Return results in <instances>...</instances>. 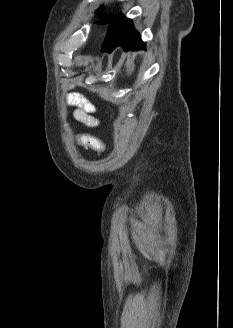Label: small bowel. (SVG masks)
<instances>
[{"label": "small bowel", "instance_id": "1", "mask_svg": "<svg viewBox=\"0 0 233 328\" xmlns=\"http://www.w3.org/2000/svg\"><path fill=\"white\" fill-rule=\"evenodd\" d=\"M69 103L76 106L74 117L76 120L84 123L88 127H98L100 121L93 116L95 108L93 104L87 101L83 96L78 93H72L68 97Z\"/></svg>", "mask_w": 233, "mask_h": 328}]
</instances>
